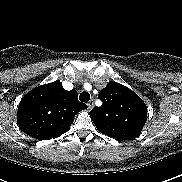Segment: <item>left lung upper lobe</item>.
<instances>
[{
    "label": "left lung upper lobe",
    "mask_w": 182,
    "mask_h": 182,
    "mask_svg": "<svg viewBox=\"0 0 182 182\" xmlns=\"http://www.w3.org/2000/svg\"><path fill=\"white\" fill-rule=\"evenodd\" d=\"M101 107H94L90 116L97 129L119 140H130L140 135L147 120L144 101L128 87L110 82L99 92Z\"/></svg>",
    "instance_id": "1"
}]
</instances>
